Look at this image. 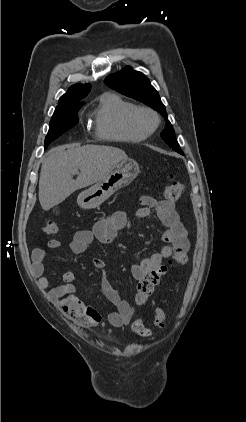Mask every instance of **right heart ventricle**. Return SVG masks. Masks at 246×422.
<instances>
[{"label": "right heart ventricle", "instance_id": "1", "mask_svg": "<svg viewBox=\"0 0 246 422\" xmlns=\"http://www.w3.org/2000/svg\"><path fill=\"white\" fill-rule=\"evenodd\" d=\"M138 106L116 93H105L94 112V129L98 137L110 141L140 142L147 134L138 129L133 117Z\"/></svg>", "mask_w": 246, "mask_h": 422}]
</instances>
